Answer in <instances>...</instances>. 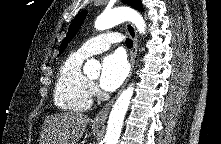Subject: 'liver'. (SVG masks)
Here are the masks:
<instances>
[{
	"mask_svg": "<svg viewBox=\"0 0 221 144\" xmlns=\"http://www.w3.org/2000/svg\"><path fill=\"white\" fill-rule=\"evenodd\" d=\"M90 118L79 112L56 113L44 120L40 144H77Z\"/></svg>",
	"mask_w": 221,
	"mask_h": 144,
	"instance_id": "obj_1",
	"label": "liver"
}]
</instances>
